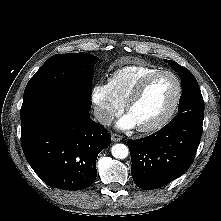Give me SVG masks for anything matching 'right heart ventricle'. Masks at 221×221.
Instances as JSON below:
<instances>
[{
  "mask_svg": "<svg viewBox=\"0 0 221 221\" xmlns=\"http://www.w3.org/2000/svg\"><path fill=\"white\" fill-rule=\"evenodd\" d=\"M157 70L159 68L146 64L126 65L110 75L107 85L114 98L124 105L137 83L144 76Z\"/></svg>",
  "mask_w": 221,
  "mask_h": 221,
  "instance_id": "right-heart-ventricle-1",
  "label": "right heart ventricle"
}]
</instances>
